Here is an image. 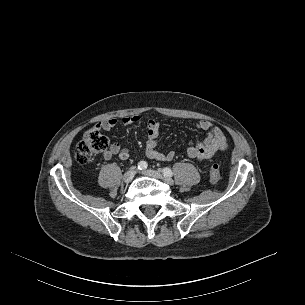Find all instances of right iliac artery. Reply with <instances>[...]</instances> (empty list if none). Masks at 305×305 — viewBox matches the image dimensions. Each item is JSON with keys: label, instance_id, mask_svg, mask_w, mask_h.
<instances>
[{"label": "right iliac artery", "instance_id": "obj_1", "mask_svg": "<svg viewBox=\"0 0 305 305\" xmlns=\"http://www.w3.org/2000/svg\"><path fill=\"white\" fill-rule=\"evenodd\" d=\"M147 166H148V164H147V162H145V161H140V162L138 163V169H139V170H144V169L147 168Z\"/></svg>", "mask_w": 305, "mask_h": 305}]
</instances>
